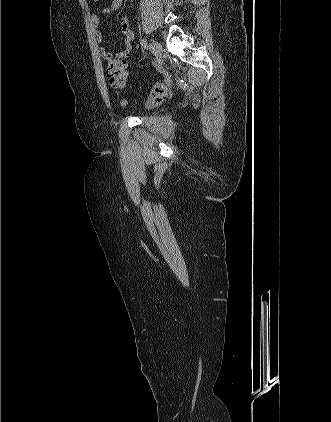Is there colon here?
Returning a JSON list of instances; mask_svg holds the SVG:
<instances>
[{
	"label": "colon",
	"instance_id": "colon-1",
	"mask_svg": "<svg viewBox=\"0 0 331 422\" xmlns=\"http://www.w3.org/2000/svg\"><path fill=\"white\" fill-rule=\"evenodd\" d=\"M106 76L110 86L115 90H123L127 85L128 73L126 62L120 58H114L107 62ZM166 87L163 83H156L152 89L150 103L162 102L165 97Z\"/></svg>",
	"mask_w": 331,
	"mask_h": 422
}]
</instances>
